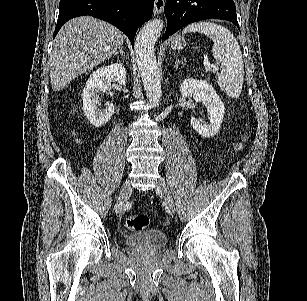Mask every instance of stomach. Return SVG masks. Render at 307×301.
Segmentation results:
<instances>
[{
  "label": "stomach",
  "mask_w": 307,
  "mask_h": 301,
  "mask_svg": "<svg viewBox=\"0 0 307 301\" xmlns=\"http://www.w3.org/2000/svg\"><path fill=\"white\" fill-rule=\"evenodd\" d=\"M170 44L171 48H183L184 44H186L185 38H183V36H175Z\"/></svg>",
  "instance_id": "1"
}]
</instances>
